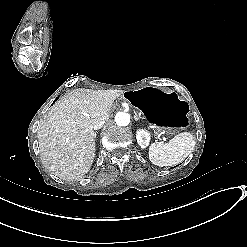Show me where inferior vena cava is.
<instances>
[{
  "label": "inferior vena cava",
  "mask_w": 247,
  "mask_h": 247,
  "mask_svg": "<svg viewBox=\"0 0 247 247\" xmlns=\"http://www.w3.org/2000/svg\"><path fill=\"white\" fill-rule=\"evenodd\" d=\"M105 121L101 120V121H97L94 125H93V129L94 130H99L103 127Z\"/></svg>",
  "instance_id": "602c4592"
}]
</instances>
